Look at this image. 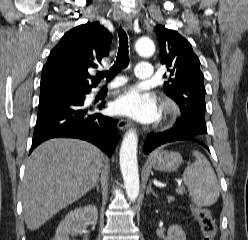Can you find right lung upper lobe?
<instances>
[{
    "instance_id": "cb5924a9",
    "label": "right lung upper lobe",
    "mask_w": 248,
    "mask_h": 240,
    "mask_svg": "<svg viewBox=\"0 0 248 240\" xmlns=\"http://www.w3.org/2000/svg\"><path fill=\"white\" fill-rule=\"evenodd\" d=\"M111 40V33L99 22H88L68 31L50 52L43 67L40 100L91 91L99 80L92 77L89 70L101 64Z\"/></svg>"
}]
</instances>
